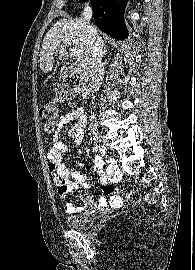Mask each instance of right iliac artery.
I'll return each mask as SVG.
<instances>
[{
    "instance_id": "82829eb1",
    "label": "right iliac artery",
    "mask_w": 195,
    "mask_h": 270,
    "mask_svg": "<svg viewBox=\"0 0 195 270\" xmlns=\"http://www.w3.org/2000/svg\"><path fill=\"white\" fill-rule=\"evenodd\" d=\"M93 151H94V152L97 151V146H96V145L93 146Z\"/></svg>"
}]
</instances>
